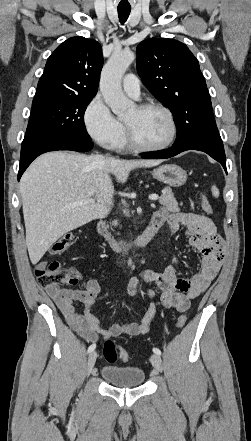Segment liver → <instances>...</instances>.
I'll return each mask as SVG.
<instances>
[{
    "instance_id": "liver-1",
    "label": "liver",
    "mask_w": 251,
    "mask_h": 441,
    "mask_svg": "<svg viewBox=\"0 0 251 441\" xmlns=\"http://www.w3.org/2000/svg\"><path fill=\"white\" fill-rule=\"evenodd\" d=\"M161 162L62 151L39 156L20 181L26 245L32 264L38 263L67 232L107 215L114 195L111 174L125 183L133 169ZM92 197L97 201L74 205Z\"/></svg>"
}]
</instances>
